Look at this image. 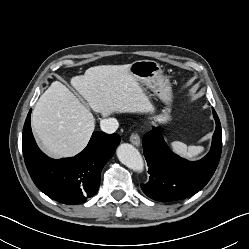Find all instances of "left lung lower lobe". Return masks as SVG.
Instances as JSON below:
<instances>
[{
    "mask_svg": "<svg viewBox=\"0 0 249 249\" xmlns=\"http://www.w3.org/2000/svg\"><path fill=\"white\" fill-rule=\"evenodd\" d=\"M212 110L216 121L212 147L199 161L190 162L175 155L156 127L145 135L143 151L150 178L141 188L148 197L160 202L184 199L200 191L211 179L222 150L221 124L215 110Z\"/></svg>",
    "mask_w": 249,
    "mask_h": 249,
    "instance_id": "0a47b994",
    "label": "left lung lower lobe"
}]
</instances>
